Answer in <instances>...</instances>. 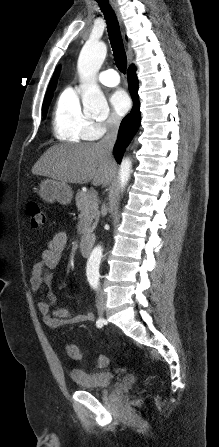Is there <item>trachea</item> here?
Returning a JSON list of instances; mask_svg holds the SVG:
<instances>
[{"instance_id": "3493384b", "label": "trachea", "mask_w": 219, "mask_h": 447, "mask_svg": "<svg viewBox=\"0 0 219 447\" xmlns=\"http://www.w3.org/2000/svg\"><path fill=\"white\" fill-rule=\"evenodd\" d=\"M105 16L107 22L108 35L113 49V56L117 68L125 74L127 68V58L120 32L119 23L108 0H96Z\"/></svg>"}]
</instances>
